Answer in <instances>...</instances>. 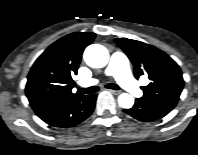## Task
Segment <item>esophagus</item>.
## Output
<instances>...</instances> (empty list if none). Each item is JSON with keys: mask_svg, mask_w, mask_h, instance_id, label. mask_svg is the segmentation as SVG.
<instances>
[{"mask_svg": "<svg viewBox=\"0 0 198 155\" xmlns=\"http://www.w3.org/2000/svg\"><path fill=\"white\" fill-rule=\"evenodd\" d=\"M110 92L115 94V95L121 94V91H118V90H110Z\"/></svg>", "mask_w": 198, "mask_h": 155, "instance_id": "obj_1", "label": "esophagus"}]
</instances>
